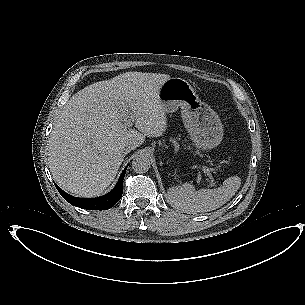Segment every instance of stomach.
<instances>
[{"label": "stomach", "mask_w": 305, "mask_h": 305, "mask_svg": "<svg viewBox=\"0 0 305 305\" xmlns=\"http://www.w3.org/2000/svg\"><path fill=\"white\" fill-rule=\"evenodd\" d=\"M158 100L166 112L180 109L184 126L197 148L210 149L221 142L223 129L216 113L200 100L185 79L170 77L163 82Z\"/></svg>", "instance_id": "1"}]
</instances>
